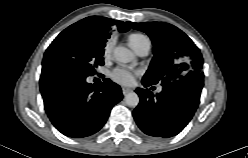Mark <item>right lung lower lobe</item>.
<instances>
[{
    "label": "right lung lower lobe",
    "instance_id": "right-lung-lower-lobe-1",
    "mask_svg": "<svg viewBox=\"0 0 248 158\" xmlns=\"http://www.w3.org/2000/svg\"><path fill=\"white\" fill-rule=\"evenodd\" d=\"M40 91L53 125L74 138L100 130L112 107L123 97L120 86L107 78L93 86L86 78L69 75L41 76Z\"/></svg>",
    "mask_w": 248,
    "mask_h": 158
}]
</instances>
